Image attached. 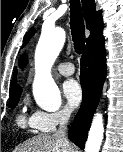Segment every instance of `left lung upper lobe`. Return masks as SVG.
Here are the masks:
<instances>
[{"instance_id": "5c2ea615", "label": "left lung upper lobe", "mask_w": 123, "mask_h": 152, "mask_svg": "<svg viewBox=\"0 0 123 152\" xmlns=\"http://www.w3.org/2000/svg\"><path fill=\"white\" fill-rule=\"evenodd\" d=\"M20 66H24L25 63H26V58L23 56L21 59H20Z\"/></svg>"}]
</instances>
